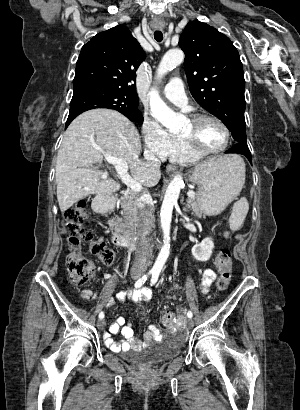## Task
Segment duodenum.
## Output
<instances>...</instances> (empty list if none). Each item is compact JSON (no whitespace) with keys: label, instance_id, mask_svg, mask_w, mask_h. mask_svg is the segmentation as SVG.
<instances>
[{"label":"duodenum","instance_id":"duodenum-1","mask_svg":"<svg viewBox=\"0 0 300 410\" xmlns=\"http://www.w3.org/2000/svg\"><path fill=\"white\" fill-rule=\"evenodd\" d=\"M94 209L98 215L107 216L114 210V207L110 204V198H99L94 203ZM109 236L113 244L118 247L133 249L135 246L133 237H127L112 231H109Z\"/></svg>","mask_w":300,"mask_h":410}]
</instances>
